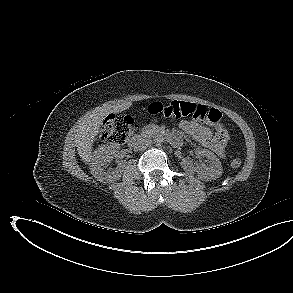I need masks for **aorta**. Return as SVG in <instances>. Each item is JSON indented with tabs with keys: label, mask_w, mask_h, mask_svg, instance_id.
I'll return each mask as SVG.
<instances>
[{
	"label": "aorta",
	"mask_w": 293,
	"mask_h": 293,
	"mask_svg": "<svg viewBox=\"0 0 293 293\" xmlns=\"http://www.w3.org/2000/svg\"><path fill=\"white\" fill-rule=\"evenodd\" d=\"M163 141H164V138L162 136H157L154 139V142L156 145H161L163 143Z\"/></svg>",
	"instance_id": "1"
}]
</instances>
